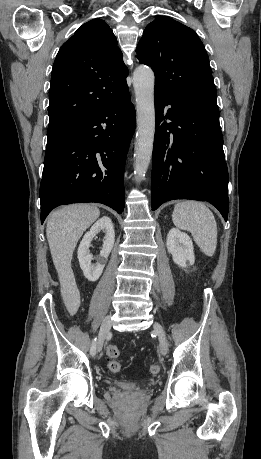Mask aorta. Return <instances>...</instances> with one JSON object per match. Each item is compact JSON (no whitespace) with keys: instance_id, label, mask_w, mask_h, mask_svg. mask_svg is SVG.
<instances>
[{"instance_id":"1","label":"aorta","mask_w":261,"mask_h":459,"mask_svg":"<svg viewBox=\"0 0 261 459\" xmlns=\"http://www.w3.org/2000/svg\"><path fill=\"white\" fill-rule=\"evenodd\" d=\"M154 82V72L150 67L140 65L135 69L133 86L136 97L137 133L134 173L138 179L145 176L152 158L155 134Z\"/></svg>"}]
</instances>
